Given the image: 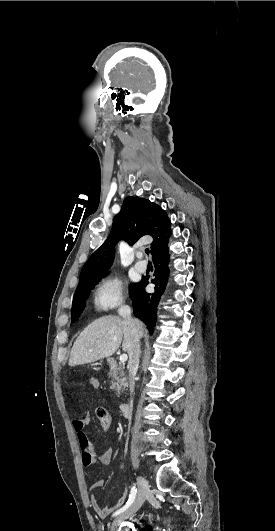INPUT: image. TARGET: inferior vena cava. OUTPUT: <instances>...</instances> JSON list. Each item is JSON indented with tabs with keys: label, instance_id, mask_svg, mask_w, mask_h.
<instances>
[{
	"label": "inferior vena cava",
	"instance_id": "inferior-vena-cava-1",
	"mask_svg": "<svg viewBox=\"0 0 275 531\" xmlns=\"http://www.w3.org/2000/svg\"><path fill=\"white\" fill-rule=\"evenodd\" d=\"M120 315L121 317H123L124 321L128 323L131 329V333H132V341H131L130 349L128 351L129 361H128L127 369H129V391H130V395H133L134 387H135V377L138 371L139 357L141 353L140 335L136 327V323L134 319H132L131 317L130 307H126V305H124V307H121Z\"/></svg>",
	"mask_w": 275,
	"mask_h": 531
}]
</instances>
